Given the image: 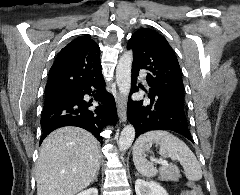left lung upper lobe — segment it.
<instances>
[{"label":"left lung upper lobe","mask_w":240,"mask_h":195,"mask_svg":"<svg viewBox=\"0 0 240 195\" xmlns=\"http://www.w3.org/2000/svg\"><path fill=\"white\" fill-rule=\"evenodd\" d=\"M127 49L133 50L132 71H148L149 88L157 87L184 103L180 66L172 47L162 35L148 28L140 29L129 39Z\"/></svg>","instance_id":"1"}]
</instances>
